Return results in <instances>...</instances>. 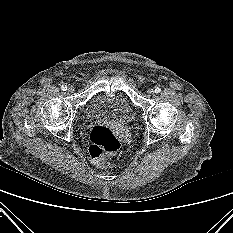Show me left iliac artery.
Returning a JSON list of instances; mask_svg holds the SVG:
<instances>
[{
  "label": "left iliac artery",
  "instance_id": "1",
  "mask_svg": "<svg viewBox=\"0 0 233 233\" xmlns=\"http://www.w3.org/2000/svg\"><path fill=\"white\" fill-rule=\"evenodd\" d=\"M160 91H161V89L159 87H156L154 90L155 93H159Z\"/></svg>",
  "mask_w": 233,
  "mask_h": 233
}]
</instances>
